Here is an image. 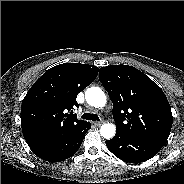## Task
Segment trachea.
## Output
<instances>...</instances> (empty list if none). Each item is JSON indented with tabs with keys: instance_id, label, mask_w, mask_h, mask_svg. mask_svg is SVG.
<instances>
[{
	"instance_id": "3493384b",
	"label": "trachea",
	"mask_w": 184,
	"mask_h": 184,
	"mask_svg": "<svg viewBox=\"0 0 184 184\" xmlns=\"http://www.w3.org/2000/svg\"><path fill=\"white\" fill-rule=\"evenodd\" d=\"M82 118L83 119H86V120H92V121H99V117L97 114H93V113H84L82 115Z\"/></svg>"
}]
</instances>
